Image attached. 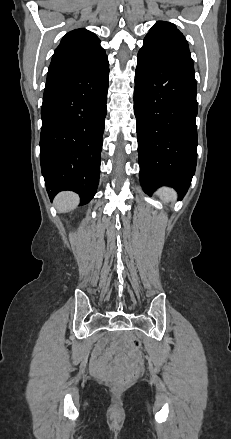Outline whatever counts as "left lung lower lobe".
Wrapping results in <instances>:
<instances>
[{"label": "left lung lower lobe", "mask_w": 231, "mask_h": 439, "mask_svg": "<svg viewBox=\"0 0 231 439\" xmlns=\"http://www.w3.org/2000/svg\"><path fill=\"white\" fill-rule=\"evenodd\" d=\"M196 94L193 66L138 52L134 113L145 193L166 185L186 194L197 163Z\"/></svg>", "instance_id": "left-lung-lower-lobe-1"}]
</instances>
